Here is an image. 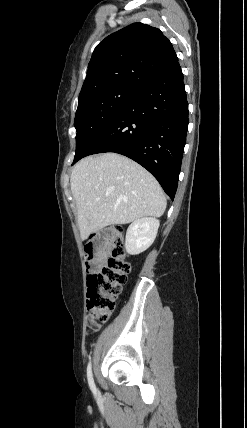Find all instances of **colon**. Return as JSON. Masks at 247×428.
Returning <instances> with one entry per match:
<instances>
[{"label": "colon", "instance_id": "obj_1", "mask_svg": "<svg viewBox=\"0 0 247 428\" xmlns=\"http://www.w3.org/2000/svg\"><path fill=\"white\" fill-rule=\"evenodd\" d=\"M85 252L93 271L88 276L87 310L88 326L94 330L113 312L131 265L126 260L125 241L118 226L106 230L102 247L89 246Z\"/></svg>", "mask_w": 247, "mask_h": 428}]
</instances>
